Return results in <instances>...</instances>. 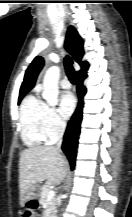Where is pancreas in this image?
<instances>
[{"label":"pancreas","mask_w":132,"mask_h":217,"mask_svg":"<svg viewBox=\"0 0 132 217\" xmlns=\"http://www.w3.org/2000/svg\"><path fill=\"white\" fill-rule=\"evenodd\" d=\"M50 190H51V186L49 184H45L41 189L39 202L45 208L43 217H55L56 198L53 196L49 200L48 193Z\"/></svg>","instance_id":"pancreas-1"}]
</instances>
